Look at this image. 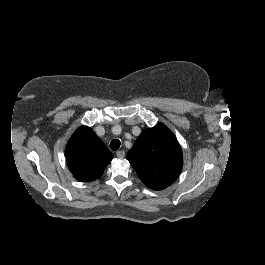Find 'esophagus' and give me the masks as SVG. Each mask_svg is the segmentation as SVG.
<instances>
[{
  "mask_svg": "<svg viewBox=\"0 0 265 265\" xmlns=\"http://www.w3.org/2000/svg\"><path fill=\"white\" fill-rule=\"evenodd\" d=\"M116 155L118 158L122 159L125 156V152L123 150H119L117 151Z\"/></svg>",
  "mask_w": 265,
  "mask_h": 265,
  "instance_id": "esophagus-1",
  "label": "esophagus"
}]
</instances>
